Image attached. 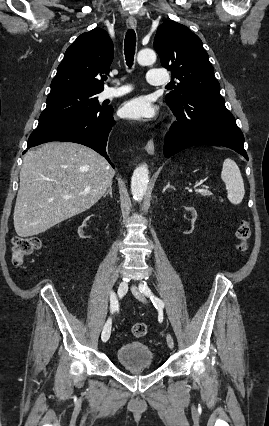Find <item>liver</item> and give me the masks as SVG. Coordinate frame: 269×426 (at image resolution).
<instances>
[{
  "label": "liver",
  "mask_w": 269,
  "mask_h": 426,
  "mask_svg": "<svg viewBox=\"0 0 269 426\" xmlns=\"http://www.w3.org/2000/svg\"><path fill=\"white\" fill-rule=\"evenodd\" d=\"M114 175L104 157L78 143L49 142L28 151L13 215L17 235L40 234L90 209Z\"/></svg>",
  "instance_id": "1"
}]
</instances>
